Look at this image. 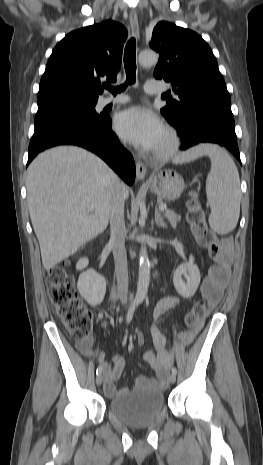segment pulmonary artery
Masks as SVG:
<instances>
[{"label":"pulmonary artery","instance_id":"obj_1","mask_svg":"<svg viewBox=\"0 0 263 465\" xmlns=\"http://www.w3.org/2000/svg\"><path fill=\"white\" fill-rule=\"evenodd\" d=\"M164 87L154 81H148L145 84V91L148 94H155L164 91ZM129 101V98L125 95H119L115 98H105L102 100L101 105L102 106H107L110 104L116 105V104H124Z\"/></svg>","mask_w":263,"mask_h":465}]
</instances>
